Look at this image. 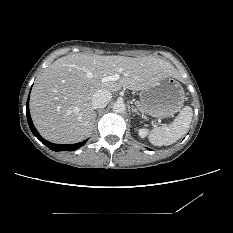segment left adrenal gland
Masks as SVG:
<instances>
[{
    "label": "left adrenal gland",
    "instance_id": "left-adrenal-gland-1",
    "mask_svg": "<svg viewBox=\"0 0 233 233\" xmlns=\"http://www.w3.org/2000/svg\"><path fill=\"white\" fill-rule=\"evenodd\" d=\"M132 112H133V113L135 112L136 114L140 115L139 112L137 111V109L134 108V107H132Z\"/></svg>",
    "mask_w": 233,
    "mask_h": 233
}]
</instances>
